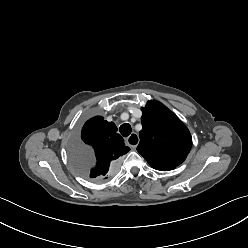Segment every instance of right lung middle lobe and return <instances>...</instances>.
Returning a JSON list of instances; mask_svg holds the SVG:
<instances>
[{
	"label": "right lung middle lobe",
	"mask_w": 248,
	"mask_h": 248,
	"mask_svg": "<svg viewBox=\"0 0 248 248\" xmlns=\"http://www.w3.org/2000/svg\"><path fill=\"white\" fill-rule=\"evenodd\" d=\"M70 158L75 169L82 176L87 177V171L93 161L92 151L79 141H75L70 146Z\"/></svg>",
	"instance_id": "right-lung-middle-lobe-1"
}]
</instances>
